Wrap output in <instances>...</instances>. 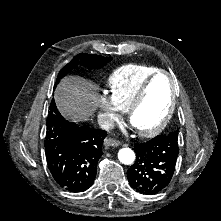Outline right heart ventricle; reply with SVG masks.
<instances>
[{"instance_id": "e07e8e85", "label": "right heart ventricle", "mask_w": 221, "mask_h": 221, "mask_svg": "<svg viewBox=\"0 0 221 221\" xmlns=\"http://www.w3.org/2000/svg\"><path fill=\"white\" fill-rule=\"evenodd\" d=\"M157 70L144 64H127L115 69L107 84L119 107L126 108L139 87Z\"/></svg>"}]
</instances>
